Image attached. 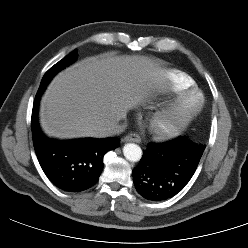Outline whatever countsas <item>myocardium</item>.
<instances>
[{"mask_svg":"<svg viewBox=\"0 0 248 248\" xmlns=\"http://www.w3.org/2000/svg\"><path fill=\"white\" fill-rule=\"evenodd\" d=\"M203 106V95L197 90H188L155 114L151 128L161 138L177 136L200 114Z\"/></svg>","mask_w":248,"mask_h":248,"instance_id":"myocardium-1","label":"myocardium"}]
</instances>
